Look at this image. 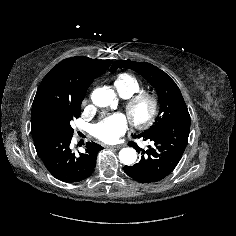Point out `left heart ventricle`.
<instances>
[{
    "mask_svg": "<svg viewBox=\"0 0 236 236\" xmlns=\"http://www.w3.org/2000/svg\"><path fill=\"white\" fill-rule=\"evenodd\" d=\"M147 112V105L146 104H140L135 112H134V115L135 117L139 118V117H142L145 115V113Z\"/></svg>",
    "mask_w": 236,
    "mask_h": 236,
    "instance_id": "1",
    "label": "left heart ventricle"
}]
</instances>
